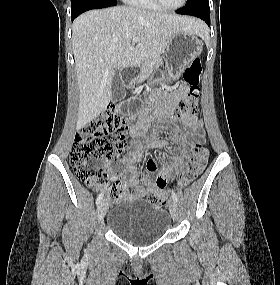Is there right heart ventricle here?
Here are the masks:
<instances>
[{"label":"right heart ventricle","mask_w":280,"mask_h":285,"mask_svg":"<svg viewBox=\"0 0 280 285\" xmlns=\"http://www.w3.org/2000/svg\"><path fill=\"white\" fill-rule=\"evenodd\" d=\"M126 1H129L131 5L140 9L151 10V11L161 10L153 0H126Z\"/></svg>","instance_id":"obj_1"}]
</instances>
